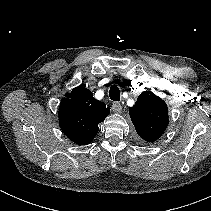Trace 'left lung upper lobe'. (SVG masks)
I'll use <instances>...</instances> for the list:
<instances>
[{
	"instance_id": "1",
	"label": "left lung upper lobe",
	"mask_w": 211,
	"mask_h": 211,
	"mask_svg": "<svg viewBox=\"0 0 211 211\" xmlns=\"http://www.w3.org/2000/svg\"><path fill=\"white\" fill-rule=\"evenodd\" d=\"M129 112L138 135L147 142L159 139L169 123L165 101L150 91L142 92Z\"/></svg>"
}]
</instances>
